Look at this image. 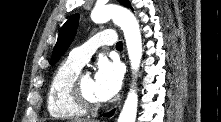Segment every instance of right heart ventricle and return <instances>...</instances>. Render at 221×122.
Here are the masks:
<instances>
[{
	"instance_id": "obj_1",
	"label": "right heart ventricle",
	"mask_w": 221,
	"mask_h": 122,
	"mask_svg": "<svg viewBox=\"0 0 221 122\" xmlns=\"http://www.w3.org/2000/svg\"><path fill=\"white\" fill-rule=\"evenodd\" d=\"M81 66L70 58L55 70L47 91V108L50 115L58 119L79 118L86 114L72 98L71 84L80 73Z\"/></svg>"
}]
</instances>
